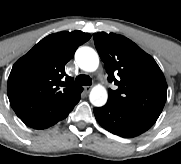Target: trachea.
<instances>
[{
  "mask_svg": "<svg viewBox=\"0 0 181 164\" xmlns=\"http://www.w3.org/2000/svg\"><path fill=\"white\" fill-rule=\"evenodd\" d=\"M75 84L76 85H91L92 80L89 76L81 74L76 77Z\"/></svg>",
  "mask_w": 181,
  "mask_h": 164,
  "instance_id": "1",
  "label": "trachea"
}]
</instances>
